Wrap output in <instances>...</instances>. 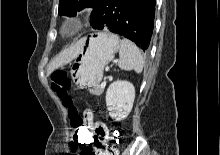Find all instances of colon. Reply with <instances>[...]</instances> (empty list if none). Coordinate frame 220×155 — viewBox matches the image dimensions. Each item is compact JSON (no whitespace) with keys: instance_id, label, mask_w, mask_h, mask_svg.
Instances as JSON below:
<instances>
[{"instance_id":"5ec220e1","label":"colon","mask_w":220,"mask_h":155,"mask_svg":"<svg viewBox=\"0 0 220 155\" xmlns=\"http://www.w3.org/2000/svg\"><path fill=\"white\" fill-rule=\"evenodd\" d=\"M51 86L63 105L67 108L70 126L73 130V140L77 147H86L93 144V148L86 151V155H117L116 149L120 145L122 133H108L107 127L101 123L97 129L95 138L89 123L79 114L73 99L68 91L71 87V80L65 70L58 69L51 74ZM94 140V141H93Z\"/></svg>"}]
</instances>
